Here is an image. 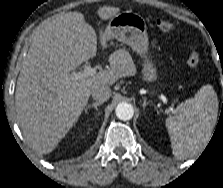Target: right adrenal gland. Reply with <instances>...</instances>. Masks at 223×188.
Listing matches in <instances>:
<instances>
[{"mask_svg":"<svg viewBox=\"0 0 223 188\" xmlns=\"http://www.w3.org/2000/svg\"><path fill=\"white\" fill-rule=\"evenodd\" d=\"M102 103L101 102H95L91 105L86 106L85 112H87L88 109L94 108L96 111H98V106H100Z\"/></svg>","mask_w":223,"mask_h":188,"instance_id":"1","label":"right adrenal gland"}]
</instances>
